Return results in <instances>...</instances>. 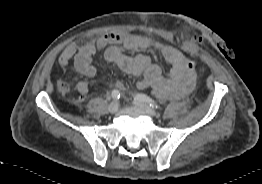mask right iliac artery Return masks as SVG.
Wrapping results in <instances>:
<instances>
[{
  "label": "right iliac artery",
  "mask_w": 262,
  "mask_h": 184,
  "mask_svg": "<svg viewBox=\"0 0 262 184\" xmlns=\"http://www.w3.org/2000/svg\"><path fill=\"white\" fill-rule=\"evenodd\" d=\"M111 96L114 100H118L120 98V92L117 89H114L111 93Z\"/></svg>",
  "instance_id": "1"
}]
</instances>
